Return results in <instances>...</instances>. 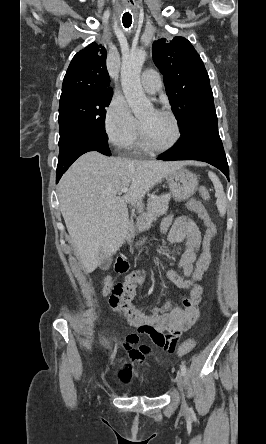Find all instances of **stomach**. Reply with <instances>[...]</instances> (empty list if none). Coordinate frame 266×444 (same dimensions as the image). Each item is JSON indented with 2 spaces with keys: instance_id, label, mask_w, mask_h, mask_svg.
<instances>
[{
  "instance_id": "stomach-1",
  "label": "stomach",
  "mask_w": 266,
  "mask_h": 444,
  "mask_svg": "<svg viewBox=\"0 0 266 444\" xmlns=\"http://www.w3.org/2000/svg\"><path fill=\"white\" fill-rule=\"evenodd\" d=\"M166 180L169 184L170 192L177 200H186L192 196L198 187V179L189 170L180 167L170 173Z\"/></svg>"
}]
</instances>
